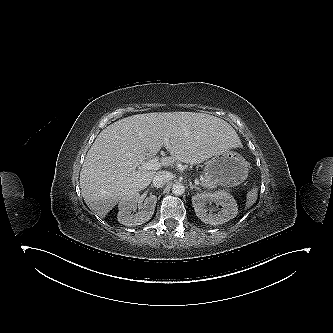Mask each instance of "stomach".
I'll list each match as a JSON object with an SVG mask.
<instances>
[{
    "mask_svg": "<svg viewBox=\"0 0 333 333\" xmlns=\"http://www.w3.org/2000/svg\"><path fill=\"white\" fill-rule=\"evenodd\" d=\"M248 171L245 159L239 153L228 150L207 161L204 177L214 185L233 187L245 181Z\"/></svg>",
    "mask_w": 333,
    "mask_h": 333,
    "instance_id": "stomach-1",
    "label": "stomach"
}]
</instances>
